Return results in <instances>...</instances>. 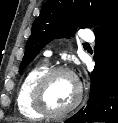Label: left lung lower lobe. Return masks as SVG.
I'll return each instance as SVG.
<instances>
[{
  "label": "left lung lower lobe",
  "mask_w": 118,
  "mask_h": 123,
  "mask_svg": "<svg viewBox=\"0 0 118 123\" xmlns=\"http://www.w3.org/2000/svg\"><path fill=\"white\" fill-rule=\"evenodd\" d=\"M95 35L89 100L65 123H118V14Z\"/></svg>",
  "instance_id": "0a47b994"
}]
</instances>
